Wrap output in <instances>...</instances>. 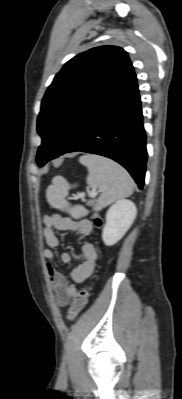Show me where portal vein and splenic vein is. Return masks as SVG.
I'll return each mask as SVG.
<instances>
[{
    "label": "portal vein and splenic vein",
    "instance_id": "portal-vein-and-splenic-vein-1",
    "mask_svg": "<svg viewBox=\"0 0 182 399\" xmlns=\"http://www.w3.org/2000/svg\"><path fill=\"white\" fill-rule=\"evenodd\" d=\"M97 193L95 191H92L89 193L90 196H95Z\"/></svg>",
    "mask_w": 182,
    "mask_h": 399
}]
</instances>
